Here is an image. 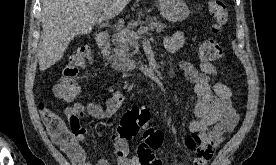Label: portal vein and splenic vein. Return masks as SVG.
Masks as SVG:
<instances>
[{
  "mask_svg": "<svg viewBox=\"0 0 276 165\" xmlns=\"http://www.w3.org/2000/svg\"><path fill=\"white\" fill-rule=\"evenodd\" d=\"M101 15V11L97 12V16ZM149 31L148 27H141L137 32L134 31H123L120 29L119 33L120 34H124L126 37H128L129 39H137L140 35H143L145 33H147Z\"/></svg>",
  "mask_w": 276,
  "mask_h": 165,
  "instance_id": "obj_1",
  "label": "portal vein and splenic vein"
}]
</instances>
